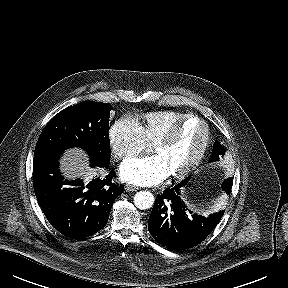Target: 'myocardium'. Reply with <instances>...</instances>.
Returning a JSON list of instances; mask_svg holds the SVG:
<instances>
[{
  "label": "myocardium",
  "instance_id": "obj_1",
  "mask_svg": "<svg viewBox=\"0 0 288 288\" xmlns=\"http://www.w3.org/2000/svg\"><path fill=\"white\" fill-rule=\"evenodd\" d=\"M191 120H197L204 125V128H205L204 142H203L202 148H201L200 152L198 153V155L196 156V158L187 167H185V169H183L181 172L171 175V178L173 180H176V181L183 180V179L187 178L189 175H191L194 172V170L203 161V159H204V157L208 151V148L210 146V142H211V131H210L209 124L203 118H201L197 115L190 114V115L180 119L179 121H177L173 125H171L153 143V147H158V146L170 144L173 141V139L175 138V136L177 135L178 131L187 122H189Z\"/></svg>",
  "mask_w": 288,
  "mask_h": 288
}]
</instances>
